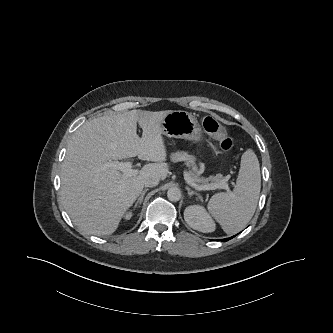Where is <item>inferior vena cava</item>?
I'll use <instances>...</instances> for the list:
<instances>
[{
	"label": "inferior vena cava",
	"mask_w": 333,
	"mask_h": 333,
	"mask_svg": "<svg viewBox=\"0 0 333 333\" xmlns=\"http://www.w3.org/2000/svg\"><path fill=\"white\" fill-rule=\"evenodd\" d=\"M158 183H159V178L156 177L147 178L144 181L145 187H155L158 185Z\"/></svg>",
	"instance_id": "obj_1"
}]
</instances>
